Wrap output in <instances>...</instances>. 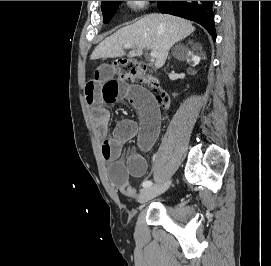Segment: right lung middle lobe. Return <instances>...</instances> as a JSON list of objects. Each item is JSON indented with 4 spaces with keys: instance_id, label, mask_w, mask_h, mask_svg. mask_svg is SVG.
<instances>
[{
    "instance_id": "obj_1",
    "label": "right lung middle lobe",
    "mask_w": 271,
    "mask_h": 266,
    "mask_svg": "<svg viewBox=\"0 0 271 266\" xmlns=\"http://www.w3.org/2000/svg\"><path fill=\"white\" fill-rule=\"evenodd\" d=\"M121 2L122 1H102L101 10L103 13L104 23L108 22L113 17Z\"/></svg>"
}]
</instances>
